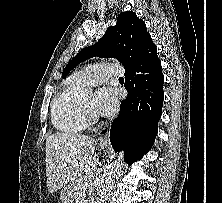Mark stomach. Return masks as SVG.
<instances>
[{
	"label": "stomach",
	"mask_w": 222,
	"mask_h": 203,
	"mask_svg": "<svg viewBox=\"0 0 222 203\" xmlns=\"http://www.w3.org/2000/svg\"><path fill=\"white\" fill-rule=\"evenodd\" d=\"M75 184H72L69 188H65L63 189L62 191V198L64 200H69L71 199L74 195H73V192L75 191Z\"/></svg>",
	"instance_id": "0dacf381"
}]
</instances>
